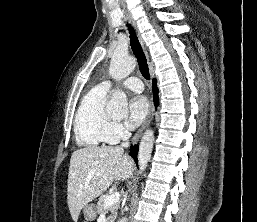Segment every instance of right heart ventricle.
Wrapping results in <instances>:
<instances>
[{
    "label": "right heart ventricle",
    "instance_id": "right-heart-ventricle-1",
    "mask_svg": "<svg viewBox=\"0 0 257 222\" xmlns=\"http://www.w3.org/2000/svg\"><path fill=\"white\" fill-rule=\"evenodd\" d=\"M107 90L101 86L91 89L82 99L75 116L74 131L76 142L83 147L94 148L107 139L112 123L106 112Z\"/></svg>",
    "mask_w": 257,
    "mask_h": 222
}]
</instances>
